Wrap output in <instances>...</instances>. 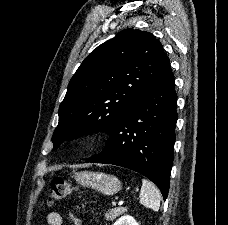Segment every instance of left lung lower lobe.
Masks as SVG:
<instances>
[{"label":"left lung lower lobe","instance_id":"obj_1","mask_svg":"<svg viewBox=\"0 0 228 225\" xmlns=\"http://www.w3.org/2000/svg\"><path fill=\"white\" fill-rule=\"evenodd\" d=\"M177 95L170 64L153 85L119 118L103 151L86 162L134 170L154 182L164 200L173 163Z\"/></svg>","mask_w":228,"mask_h":225}]
</instances>
